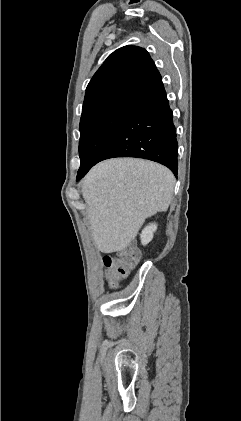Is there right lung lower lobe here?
Instances as JSON below:
<instances>
[{
	"label": "right lung lower lobe",
	"mask_w": 241,
	"mask_h": 421,
	"mask_svg": "<svg viewBox=\"0 0 241 421\" xmlns=\"http://www.w3.org/2000/svg\"><path fill=\"white\" fill-rule=\"evenodd\" d=\"M177 156L173 112L160 77L133 98L122 123L93 165L113 157H137L163 164L177 175ZM91 167L79 169L76 180Z\"/></svg>",
	"instance_id": "98d812e1"
}]
</instances>
